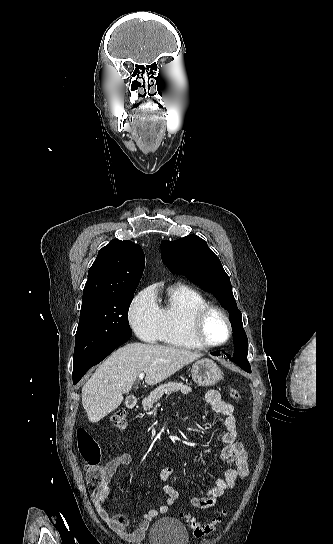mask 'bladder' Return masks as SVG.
<instances>
[{
    "label": "bladder",
    "mask_w": 333,
    "mask_h": 544,
    "mask_svg": "<svg viewBox=\"0 0 333 544\" xmlns=\"http://www.w3.org/2000/svg\"><path fill=\"white\" fill-rule=\"evenodd\" d=\"M148 540L149 544H188L189 535L181 521L164 517L153 524Z\"/></svg>",
    "instance_id": "1"
}]
</instances>
